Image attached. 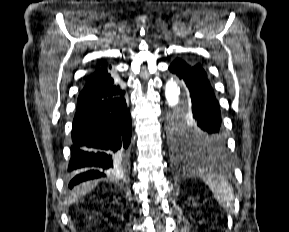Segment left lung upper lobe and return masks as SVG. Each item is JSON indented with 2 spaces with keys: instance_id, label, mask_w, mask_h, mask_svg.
Instances as JSON below:
<instances>
[{
  "instance_id": "1",
  "label": "left lung upper lobe",
  "mask_w": 289,
  "mask_h": 232,
  "mask_svg": "<svg viewBox=\"0 0 289 232\" xmlns=\"http://www.w3.org/2000/svg\"><path fill=\"white\" fill-rule=\"evenodd\" d=\"M173 118L171 122L172 146L180 153H202L215 151L209 141L185 118Z\"/></svg>"
}]
</instances>
